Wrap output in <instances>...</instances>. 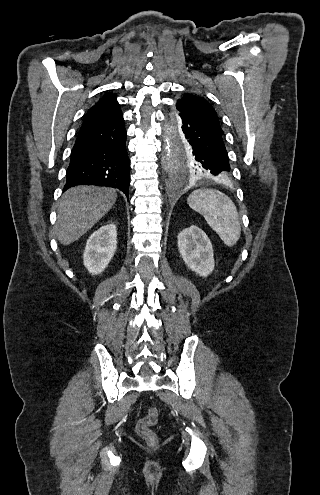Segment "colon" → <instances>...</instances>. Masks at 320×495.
Returning a JSON list of instances; mask_svg holds the SVG:
<instances>
[{
  "mask_svg": "<svg viewBox=\"0 0 320 495\" xmlns=\"http://www.w3.org/2000/svg\"><path fill=\"white\" fill-rule=\"evenodd\" d=\"M158 416V410L155 407H151L147 414L139 419L136 426L138 435L151 445L157 442V436L151 428L156 425Z\"/></svg>",
  "mask_w": 320,
  "mask_h": 495,
  "instance_id": "colon-1",
  "label": "colon"
}]
</instances>
